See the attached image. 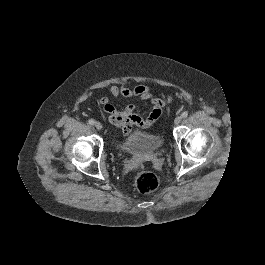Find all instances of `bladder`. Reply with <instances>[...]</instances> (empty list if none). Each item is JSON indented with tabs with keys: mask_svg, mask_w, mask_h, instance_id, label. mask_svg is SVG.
Wrapping results in <instances>:
<instances>
[{
	"mask_svg": "<svg viewBox=\"0 0 265 265\" xmlns=\"http://www.w3.org/2000/svg\"><path fill=\"white\" fill-rule=\"evenodd\" d=\"M164 138L162 135L135 131L125 140L117 141L119 147L130 154H150L163 148Z\"/></svg>",
	"mask_w": 265,
	"mask_h": 265,
	"instance_id": "31cf9c89",
	"label": "bladder"
}]
</instances>
